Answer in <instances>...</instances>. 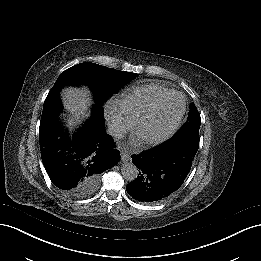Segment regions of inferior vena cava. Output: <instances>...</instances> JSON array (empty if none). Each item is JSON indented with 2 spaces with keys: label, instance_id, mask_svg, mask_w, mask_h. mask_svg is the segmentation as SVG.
Returning <instances> with one entry per match:
<instances>
[{
  "label": "inferior vena cava",
  "instance_id": "obj_1",
  "mask_svg": "<svg viewBox=\"0 0 261 261\" xmlns=\"http://www.w3.org/2000/svg\"><path fill=\"white\" fill-rule=\"evenodd\" d=\"M106 132L115 139H122L126 134L124 125L115 120H107Z\"/></svg>",
  "mask_w": 261,
  "mask_h": 261
}]
</instances>
